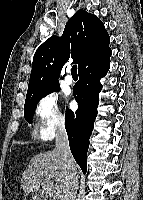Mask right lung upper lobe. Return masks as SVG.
Returning a JSON list of instances; mask_svg holds the SVG:
<instances>
[{
    "label": "right lung upper lobe",
    "instance_id": "cb5924a9",
    "mask_svg": "<svg viewBox=\"0 0 143 200\" xmlns=\"http://www.w3.org/2000/svg\"><path fill=\"white\" fill-rule=\"evenodd\" d=\"M110 37L95 15L78 10L67 22L61 37L52 36L39 46L33 57L26 98L59 84L63 64L71 57L78 70L109 48Z\"/></svg>",
    "mask_w": 143,
    "mask_h": 200
}]
</instances>
